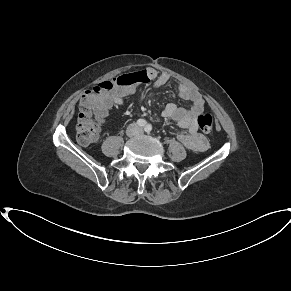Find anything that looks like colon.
<instances>
[{
  "label": "colon",
  "mask_w": 291,
  "mask_h": 291,
  "mask_svg": "<svg viewBox=\"0 0 291 291\" xmlns=\"http://www.w3.org/2000/svg\"><path fill=\"white\" fill-rule=\"evenodd\" d=\"M139 73L121 75L103 81L83 95L76 125L77 140L80 144L88 145L98 139L99 123L109 109V104L103 100L105 95L115 87H125L138 82L141 80ZM197 124L202 132L210 133L213 129V118L210 114H202L197 118Z\"/></svg>",
  "instance_id": "obj_1"
}]
</instances>
